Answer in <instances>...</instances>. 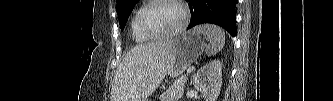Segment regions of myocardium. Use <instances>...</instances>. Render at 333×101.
<instances>
[{"instance_id": "f54148a6", "label": "myocardium", "mask_w": 333, "mask_h": 101, "mask_svg": "<svg viewBox=\"0 0 333 101\" xmlns=\"http://www.w3.org/2000/svg\"><path fill=\"white\" fill-rule=\"evenodd\" d=\"M163 2L172 3L180 9V11H181V22L175 29H173L170 32L154 33L146 25V21H145L146 15H147V12L153 6H155L159 3H163ZM188 18H189L188 10L185 7V5L182 3V1H178V0H153V1H150L147 5H145V7L140 12V15H139V18H138V24H139V28H140L141 32L143 34H145L146 36H148L149 38H151V39H161V38L172 37V36H175V35L179 34L185 28V26L187 25Z\"/></svg>"}]
</instances>
